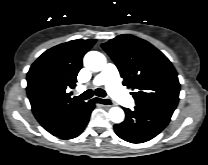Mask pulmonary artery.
Listing matches in <instances>:
<instances>
[{"instance_id":"e3ab8cb5","label":"pulmonary artery","mask_w":208,"mask_h":165,"mask_svg":"<svg viewBox=\"0 0 208 165\" xmlns=\"http://www.w3.org/2000/svg\"><path fill=\"white\" fill-rule=\"evenodd\" d=\"M94 85H105L110 95L123 105H133V98L123 89L117 68L113 64H107L93 81ZM85 87H81L84 89Z\"/></svg>"}]
</instances>
